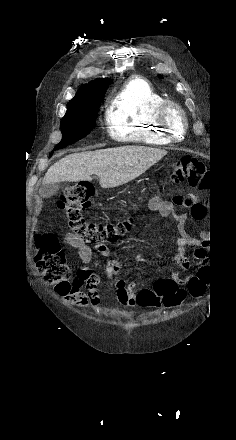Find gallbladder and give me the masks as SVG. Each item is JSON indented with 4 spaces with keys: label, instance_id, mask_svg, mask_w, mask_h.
I'll use <instances>...</instances> for the list:
<instances>
[{
    "label": "gallbladder",
    "instance_id": "1",
    "mask_svg": "<svg viewBox=\"0 0 236 440\" xmlns=\"http://www.w3.org/2000/svg\"><path fill=\"white\" fill-rule=\"evenodd\" d=\"M59 190V185L57 183L44 184L39 189V194L42 198L48 199L55 195Z\"/></svg>",
    "mask_w": 236,
    "mask_h": 440
}]
</instances>
